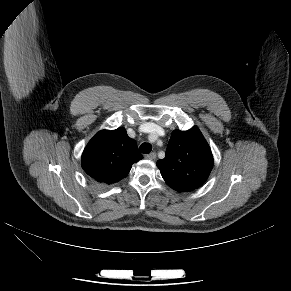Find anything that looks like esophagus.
Instances as JSON below:
<instances>
[{"mask_svg": "<svg viewBox=\"0 0 291 291\" xmlns=\"http://www.w3.org/2000/svg\"><path fill=\"white\" fill-rule=\"evenodd\" d=\"M145 158L149 159V160H155L156 159V153L152 152V153L146 155Z\"/></svg>", "mask_w": 291, "mask_h": 291, "instance_id": "34e87169", "label": "esophagus"}]
</instances>
